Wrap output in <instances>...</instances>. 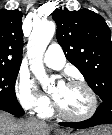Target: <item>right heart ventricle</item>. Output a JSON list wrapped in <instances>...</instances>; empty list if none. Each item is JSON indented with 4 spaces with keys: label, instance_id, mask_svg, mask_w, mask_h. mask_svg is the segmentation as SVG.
<instances>
[{
    "label": "right heart ventricle",
    "instance_id": "e07e8e85",
    "mask_svg": "<svg viewBox=\"0 0 112 135\" xmlns=\"http://www.w3.org/2000/svg\"><path fill=\"white\" fill-rule=\"evenodd\" d=\"M52 114V111L50 109H45L43 111H41V115L44 116V117H48Z\"/></svg>",
    "mask_w": 112,
    "mask_h": 135
}]
</instances>
